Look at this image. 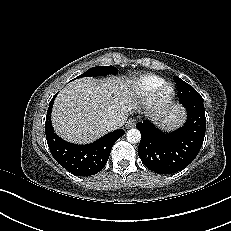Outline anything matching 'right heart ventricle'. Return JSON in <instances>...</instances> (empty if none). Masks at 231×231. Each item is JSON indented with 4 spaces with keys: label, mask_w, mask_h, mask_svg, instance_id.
<instances>
[{
    "label": "right heart ventricle",
    "mask_w": 231,
    "mask_h": 231,
    "mask_svg": "<svg viewBox=\"0 0 231 231\" xmlns=\"http://www.w3.org/2000/svg\"><path fill=\"white\" fill-rule=\"evenodd\" d=\"M163 83L164 80L161 77L153 74H145L128 80L126 83V90L132 99L146 100Z\"/></svg>",
    "instance_id": "obj_1"
}]
</instances>
